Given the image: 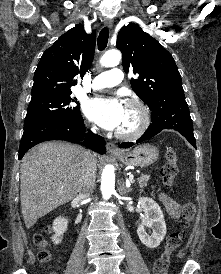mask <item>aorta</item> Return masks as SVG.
I'll list each match as a JSON object with an SVG mask.
<instances>
[{"instance_id":"aorta-1","label":"aorta","mask_w":221,"mask_h":274,"mask_svg":"<svg viewBox=\"0 0 221 274\" xmlns=\"http://www.w3.org/2000/svg\"><path fill=\"white\" fill-rule=\"evenodd\" d=\"M121 61V53L118 50L106 52L100 59V63L104 67H114ZM115 189V174L114 170L106 166L101 176V192L104 199H109Z\"/></svg>"}]
</instances>
